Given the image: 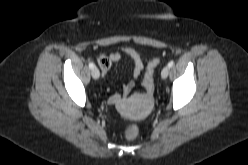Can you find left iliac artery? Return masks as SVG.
<instances>
[{"mask_svg": "<svg viewBox=\"0 0 248 165\" xmlns=\"http://www.w3.org/2000/svg\"><path fill=\"white\" fill-rule=\"evenodd\" d=\"M173 65H174V62H173V61H170V62L168 63V67H169V68H171Z\"/></svg>", "mask_w": 248, "mask_h": 165, "instance_id": "1", "label": "left iliac artery"}]
</instances>
